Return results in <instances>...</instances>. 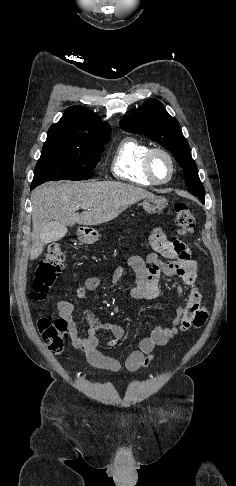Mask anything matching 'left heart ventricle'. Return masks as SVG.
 <instances>
[{"mask_svg":"<svg viewBox=\"0 0 236 486\" xmlns=\"http://www.w3.org/2000/svg\"><path fill=\"white\" fill-rule=\"evenodd\" d=\"M151 167L154 176L158 180H165L169 176L170 165L164 156L156 154L152 159Z\"/></svg>","mask_w":236,"mask_h":486,"instance_id":"obj_1","label":"left heart ventricle"}]
</instances>
